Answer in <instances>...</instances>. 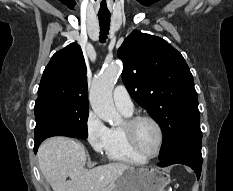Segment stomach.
<instances>
[{"instance_id":"1","label":"stomach","mask_w":233,"mask_h":191,"mask_svg":"<svg viewBox=\"0 0 233 191\" xmlns=\"http://www.w3.org/2000/svg\"><path fill=\"white\" fill-rule=\"evenodd\" d=\"M169 182L170 176L158 168L131 166L101 191H165Z\"/></svg>"}]
</instances>
